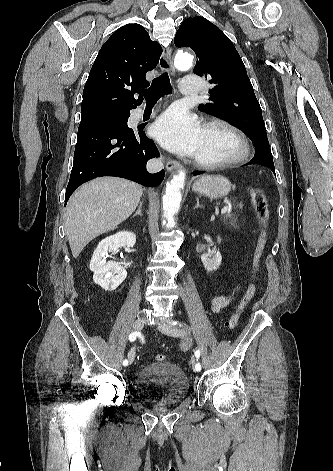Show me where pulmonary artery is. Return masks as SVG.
<instances>
[{
  "label": "pulmonary artery",
  "instance_id": "obj_1",
  "mask_svg": "<svg viewBox=\"0 0 333 471\" xmlns=\"http://www.w3.org/2000/svg\"><path fill=\"white\" fill-rule=\"evenodd\" d=\"M201 90V80L198 76L189 75L185 77L181 83V92L184 95H196Z\"/></svg>",
  "mask_w": 333,
  "mask_h": 471
}]
</instances>
